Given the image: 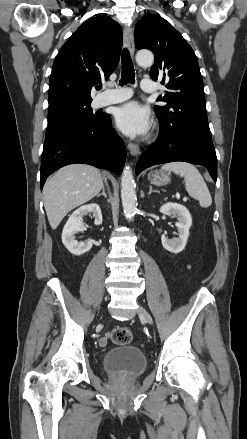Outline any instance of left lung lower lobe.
<instances>
[{"instance_id":"1","label":"left lung lower lobe","mask_w":247,"mask_h":439,"mask_svg":"<svg viewBox=\"0 0 247 439\" xmlns=\"http://www.w3.org/2000/svg\"><path fill=\"white\" fill-rule=\"evenodd\" d=\"M174 161L202 165L217 180V157L211 137L185 129L160 128L159 139L139 158L136 174L147 167Z\"/></svg>"}]
</instances>
